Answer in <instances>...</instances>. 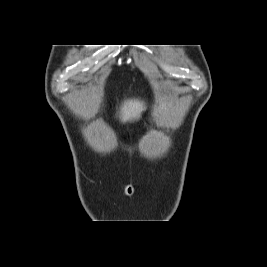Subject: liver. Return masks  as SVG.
Returning a JSON list of instances; mask_svg holds the SVG:
<instances>
[{
    "label": "liver",
    "mask_w": 267,
    "mask_h": 267,
    "mask_svg": "<svg viewBox=\"0 0 267 267\" xmlns=\"http://www.w3.org/2000/svg\"><path fill=\"white\" fill-rule=\"evenodd\" d=\"M145 110L146 107L142 101L137 99L126 100L120 107V119L122 122L138 120Z\"/></svg>",
    "instance_id": "liver-1"
}]
</instances>
